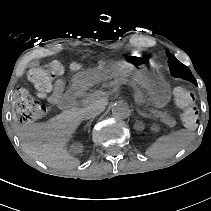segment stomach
Wrapping results in <instances>:
<instances>
[{
    "instance_id": "0dacf381",
    "label": "stomach",
    "mask_w": 211,
    "mask_h": 211,
    "mask_svg": "<svg viewBox=\"0 0 211 211\" xmlns=\"http://www.w3.org/2000/svg\"><path fill=\"white\" fill-rule=\"evenodd\" d=\"M111 78L139 84L147 91L157 108L166 106L170 101L171 89L169 84L160 74L150 72L142 66L122 64L107 66L103 69H90L77 75L76 82L80 86L88 87Z\"/></svg>"
}]
</instances>
